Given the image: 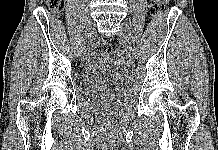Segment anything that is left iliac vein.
I'll use <instances>...</instances> for the list:
<instances>
[{
    "label": "left iliac vein",
    "mask_w": 218,
    "mask_h": 150,
    "mask_svg": "<svg viewBox=\"0 0 218 150\" xmlns=\"http://www.w3.org/2000/svg\"><path fill=\"white\" fill-rule=\"evenodd\" d=\"M122 41L128 46V51H133V46L131 45V28L130 26L123 22L122 23Z\"/></svg>",
    "instance_id": "obj_1"
}]
</instances>
